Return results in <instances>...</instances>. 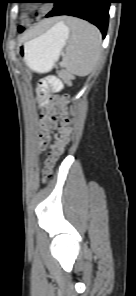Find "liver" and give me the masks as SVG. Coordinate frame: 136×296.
<instances>
[{"instance_id": "obj_1", "label": "liver", "mask_w": 136, "mask_h": 296, "mask_svg": "<svg viewBox=\"0 0 136 296\" xmlns=\"http://www.w3.org/2000/svg\"><path fill=\"white\" fill-rule=\"evenodd\" d=\"M49 23H50V20H45V21L41 22L38 26H36L34 29H32L28 34H32L36 31L42 29L44 26H46Z\"/></svg>"}]
</instances>
